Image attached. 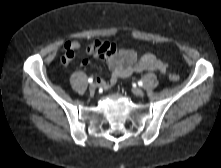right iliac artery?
<instances>
[{
  "label": "right iliac artery",
  "mask_w": 221,
  "mask_h": 168,
  "mask_svg": "<svg viewBox=\"0 0 221 168\" xmlns=\"http://www.w3.org/2000/svg\"><path fill=\"white\" fill-rule=\"evenodd\" d=\"M88 82H89V83H92V82H93V79H92V78H89V79H88Z\"/></svg>",
  "instance_id": "82829eb1"
}]
</instances>
